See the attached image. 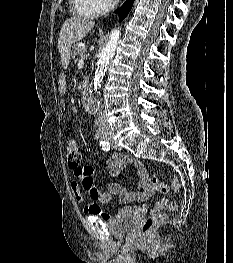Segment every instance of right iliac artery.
<instances>
[{"instance_id":"right-iliac-artery-1","label":"right iliac artery","mask_w":233,"mask_h":263,"mask_svg":"<svg viewBox=\"0 0 233 263\" xmlns=\"http://www.w3.org/2000/svg\"><path fill=\"white\" fill-rule=\"evenodd\" d=\"M100 147L105 150V151H109L111 149V145L109 142L107 141H103L101 140L100 143H99Z\"/></svg>"}]
</instances>
